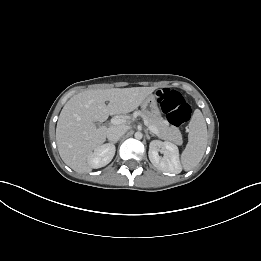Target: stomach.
I'll use <instances>...</instances> for the list:
<instances>
[{
  "label": "stomach",
  "mask_w": 261,
  "mask_h": 261,
  "mask_svg": "<svg viewBox=\"0 0 261 261\" xmlns=\"http://www.w3.org/2000/svg\"><path fill=\"white\" fill-rule=\"evenodd\" d=\"M141 109L148 116L158 115L159 108L155 95H149L141 104Z\"/></svg>",
  "instance_id": "obj_1"
}]
</instances>
